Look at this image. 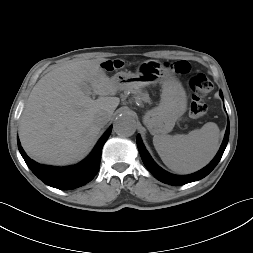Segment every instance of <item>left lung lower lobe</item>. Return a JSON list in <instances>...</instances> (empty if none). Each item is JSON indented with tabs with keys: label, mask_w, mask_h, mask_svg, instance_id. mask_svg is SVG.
Instances as JSON below:
<instances>
[{
	"label": "left lung lower lobe",
	"mask_w": 253,
	"mask_h": 253,
	"mask_svg": "<svg viewBox=\"0 0 253 253\" xmlns=\"http://www.w3.org/2000/svg\"><path fill=\"white\" fill-rule=\"evenodd\" d=\"M220 96L223 97L221 91H220ZM228 139H229V121L227 124L226 133H225L222 145H221L217 155L215 156V158L211 161V163L208 164L202 170H200L196 173L190 174V175H185V176L173 175V174L163 170L161 167H159L154 162V160L151 158V156L149 155V153L146 150L144 144L142 143V140L139 135L137 136L136 142H137V146H138L142 161H143L144 165L147 167V169L158 180L162 181L163 183H167V184L175 185V186H180V185H184L186 183L200 180V179L204 178L205 176H207L220 161V159L224 153V150L227 146Z\"/></svg>",
	"instance_id": "left-lung-lower-lobe-1"
}]
</instances>
